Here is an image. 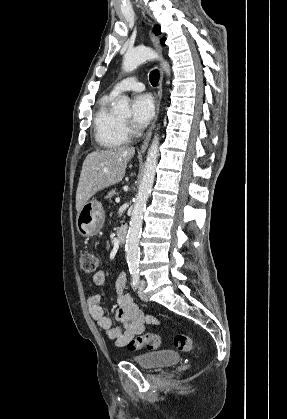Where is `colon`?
I'll return each mask as SVG.
<instances>
[{"instance_id": "obj_1", "label": "colon", "mask_w": 287, "mask_h": 419, "mask_svg": "<svg viewBox=\"0 0 287 419\" xmlns=\"http://www.w3.org/2000/svg\"><path fill=\"white\" fill-rule=\"evenodd\" d=\"M79 264L82 273L86 276L95 274L100 267V260L96 254L89 250H83L79 253ZM174 345L181 352H190L193 349L192 338L185 334L174 336ZM161 346V338L157 334H146L132 338L127 344V348L137 351L142 348L156 350Z\"/></svg>"}]
</instances>
